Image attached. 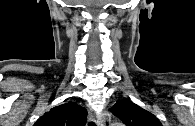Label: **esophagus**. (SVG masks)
Wrapping results in <instances>:
<instances>
[{
	"instance_id": "34e87169",
	"label": "esophagus",
	"mask_w": 195,
	"mask_h": 126,
	"mask_svg": "<svg viewBox=\"0 0 195 126\" xmlns=\"http://www.w3.org/2000/svg\"><path fill=\"white\" fill-rule=\"evenodd\" d=\"M101 121L98 123L99 126H110L111 123V117L108 114V112L104 111L101 114Z\"/></svg>"
}]
</instances>
